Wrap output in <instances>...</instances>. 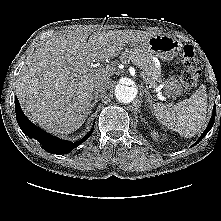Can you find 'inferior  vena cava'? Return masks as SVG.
I'll return each mask as SVG.
<instances>
[{"label":"inferior vena cava","mask_w":221,"mask_h":221,"mask_svg":"<svg viewBox=\"0 0 221 221\" xmlns=\"http://www.w3.org/2000/svg\"><path fill=\"white\" fill-rule=\"evenodd\" d=\"M107 93V89L104 86H99L98 88L95 89L93 93L94 99H98L101 97H104Z\"/></svg>","instance_id":"602c4592"}]
</instances>
